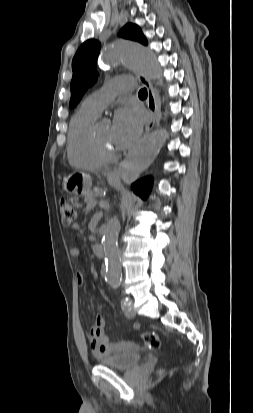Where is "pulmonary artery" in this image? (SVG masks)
Wrapping results in <instances>:
<instances>
[{
  "instance_id": "e3ab8cb5",
  "label": "pulmonary artery",
  "mask_w": 253,
  "mask_h": 413,
  "mask_svg": "<svg viewBox=\"0 0 253 413\" xmlns=\"http://www.w3.org/2000/svg\"><path fill=\"white\" fill-rule=\"evenodd\" d=\"M131 89V87L121 84L117 79L110 80L100 90L85 98L82 106L99 115L118 93Z\"/></svg>"
}]
</instances>
